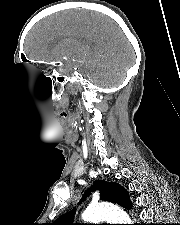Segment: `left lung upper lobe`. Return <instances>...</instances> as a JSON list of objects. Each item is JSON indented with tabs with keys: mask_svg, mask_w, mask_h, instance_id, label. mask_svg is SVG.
Masks as SVG:
<instances>
[{
	"mask_svg": "<svg viewBox=\"0 0 180 225\" xmlns=\"http://www.w3.org/2000/svg\"><path fill=\"white\" fill-rule=\"evenodd\" d=\"M100 190V199L109 201L112 203L119 204L120 206L128 209L131 207V203L128 199L127 191L117 183L106 182L103 180H96L93 187L90 190ZM87 191L84 198L89 194ZM75 209L63 214L58 219H56L50 225H77L73 224Z\"/></svg>",
	"mask_w": 180,
	"mask_h": 225,
	"instance_id": "left-lung-upper-lobe-1",
	"label": "left lung upper lobe"
}]
</instances>
